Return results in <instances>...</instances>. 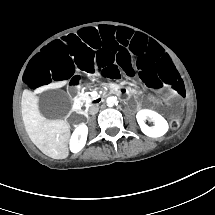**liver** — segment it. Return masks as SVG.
Returning a JSON list of instances; mask_svg holds the SVG:
<instances>
[{
    "mask_svg": "<svg viewBox=\"0 0 215 215\" xmlns=\"http://www.w3.org/2000/svg\"><path fill=\"white\" fill-rule=\"evenodd\" d=\"M67 81L51 83L44 90L65 86ZM32 93L25 90L22 95V117L30 140L47 156L63 159L68 156L70 126L61 119L49 120L39 112L37 103L31 99Z\"/></svg>",
    "mask_w": 215,
    "mask_h": 215,
    "instance_id": "1",
    "label": "liver"
}]
</instances>
